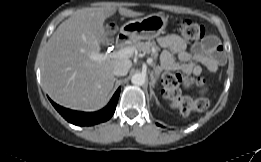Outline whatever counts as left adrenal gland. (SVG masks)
I'll list each match as a JSON object with an SVG mask.
<instances>
[{"instance_id": "left-adrenal-gland-1", "label": "left adrenal gland", "mask_w": 261, "mask_h": 162, "mask_svg": "<svg viewBox=\"0 0 261 162\" xmlns=\"http://www.w3.org/2000/svg\"><path fill=\"white\" fill-rule=\"evenodd\" d=\"M149 85H150V96L151 97L153 96L155 98L157 105H160V103L158 101V98L156 97V95H155V93L153 91L154 82L152 81V78H151V82L149 83Z\"/></svg>"}]
</instances>
